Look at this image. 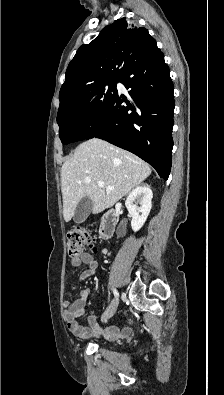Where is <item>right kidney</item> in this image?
I'll use <instances>...</instances> for the list:
<instances>
[{"label":"right kidney","instance_id":"1","mask_svg":"<svg viewBox=\"0 0 224 395\" xmlns=\"http://www.w3.org/2000/svg\"><path fill=\"white\" fill-rule=\"evenodd\" d=\"M153 194L149 186H138L128 195L125 206L132 216L131 227L134 232H137L144 225L150 210L152 208ZM138 201L140 206H136L135 201Z\"/></svg>","mask_w":224,"mask_h":395}]
</instances>
